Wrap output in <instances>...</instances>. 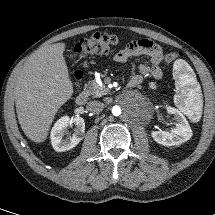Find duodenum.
<instances>
[{
  "mask_svg": "<svg viewBox=\"0 0 215 215\" xmlns=\"http://www.w3.org/2000/svg\"><path fill=\"white\" fill-rule=\"evenodd\" d=\"M129 85H130L131 87H134L133 84H130V83H129ZM87 99H88V93H87V91H86V90H82V91L77 95V97H76V103H77L78 105H84V104L87 102Z\"/></svg>",
  "mask_w": 215,
  "mask_h": 215,
  "instance_id": "1",
  "label": "duodenum"
}]
</instances>
